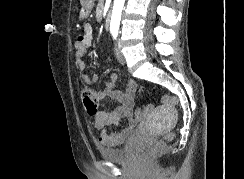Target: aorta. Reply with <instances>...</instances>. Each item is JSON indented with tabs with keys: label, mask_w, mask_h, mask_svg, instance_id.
Instances as JSON below:
<instances>
[{
	"label": "aorta",
	"mask_w": 244,
	"mask_h": 179,
	"mask_svg": "<svg viewBox=\"0 0 244 179\" xmlns=\"http://www.w3.org/2000/svg\"><path fill=\"white\" fill-rule=\"evenodd\" d=\"M125 0H115L110 24V32H118Z\"/></svg>",
	"instance_id": "obj_1"
}]
</instances>
